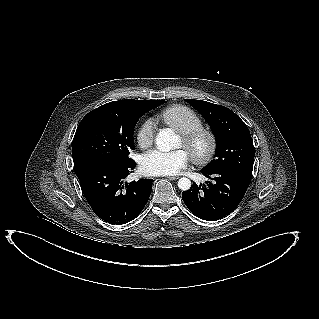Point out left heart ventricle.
Returning a JSON list of instances; mask_svg holds the SVG:
<instances>
[{
  "label": "left heart ventricle",
  "mask_w": 319,
  "mask_h": 319,
  "mask_svg": "<svg viewBox=\"0 0 319 319\" xmlns=\"http://www.w3.org/2000/svg\"><path fill=\"white\" fill-rule=\"evenodd\" d=\"M181 144H182V140H181ZM203 147H204L203 142H200V143L198 144V149H203Z\"/></svg>",
  "instance_id": "left-heart-ventricle-1"
}]
</instances>
